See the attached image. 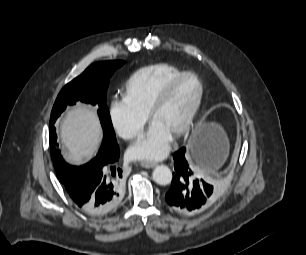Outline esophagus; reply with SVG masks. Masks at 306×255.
<instances>
[{
    "label": "esophagus",
    "mask_w": 306,
    "mask_h": 255,
    "mask_svg": "<svg viewBox=\"0 0 306 255\" xmlns=\"http://www.w3.org/2000/svg\"><path fill=\"white\" fill-rule=\"evenodd\" d=\"M141 166L143 168L149 169V168H153L156 166V163L153 161H142L141 162Z\"/></svg>",
    "instance_id": "obj_1"
}]
</instances>
